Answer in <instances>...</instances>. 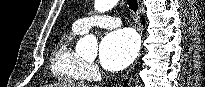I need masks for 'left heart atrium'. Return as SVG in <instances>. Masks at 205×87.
I'll use <instances>...</instances> for the list:
<instances>
[{"mask_svg":"<svg viewBox=\"0 0 205 87\" xmlns=\"http://www.w3.org/2000/svg\"><path fill=\"white\" fill-rule=\"evenodd\" d=\"M139 40L131 29H119L107 34L100 45V62L108 70H120L137 56Z\"/></svg>","mask_w":205,"mask_h":87,"instance_id":"left-heart-atrium-1","label":"left heart atrium"}]
</instances>
